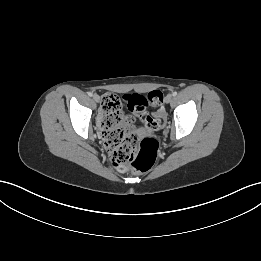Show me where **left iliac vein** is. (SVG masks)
<instances>
[{
    "mask_svg": "<svg viewBox=\"0 0 261 261\" xmlns=\"http://www.w3.org/2000/svg\"><path fill=\"white\" fill-rule=\"evenodd\" d=\"M173 97L171 94H168L166 97H165V103H170L172 101Z\"/></svg>",
    "mask_w": 261,
    "mask_h": 261,
    "instance_id": "left-iliac-vein-1",
    "label": "left iliac vein"
}]
</instances>
